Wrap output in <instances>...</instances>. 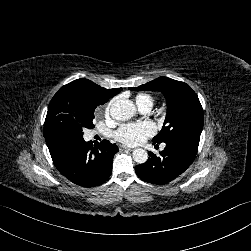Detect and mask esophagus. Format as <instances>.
Wrapping results in <instances>:
<instances>
[{"mask_svg":"<svg viewBox=\"0 0 251 251\" xmlns=\"http://www.w3.org/2000/svg\"><path fill=\"white\" fill-rule=\"evenodd\" d=\"M119 149H120V151H124V150H129V151H131V150H132L131 148L126 147V146H123V145H120V146H119Z\"/></svg>","mask_w":251,"mask_h":251,"instance_id":"1","label":"esophagus"}]
</instances>
